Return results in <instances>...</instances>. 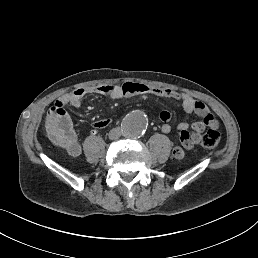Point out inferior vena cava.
I'll return each mask as SVG.
<instances>
[{
  "label": "inferior vena cava",
  "mask_w": 258,
  "mask_h": 258,
  "mask_svg": "<svg viewBox=\"0 0 258 258\" xmlns=\"http://www.w3.org/2000/svg\"><path fill=\"white\" fill-rule=\"evenodd\" d=\"M121 134H122L121 128H114L110 131L109 138L112 140L119 139Z\"/></svg>",
  "instance_id": "inferior-vena-cava-1"
}]
</instances>
